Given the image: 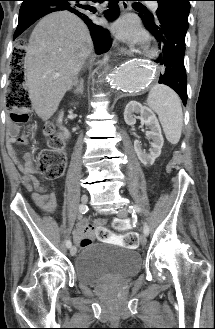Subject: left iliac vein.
I'll return each mask as SVG.
<instances>
[{"label":"left iliac vein","instance_id":"obj_1","mask_svg":"<svg viewBox=\"0 0 215 329\" xmlns=\"http://www.w3.org/2000/svg\"><path fill=\"white\" fill-rule=\"evenodd\" d=\"M127 215H128V212H127V210H125V209H121V210H119L118 213H117V216L120 217V218H125V217H127ZM146 241H147V239H146V235H145V233L143 232V233H141V235H140V242H141L142 245H145V244H146Z\"/></svg>","mask_w":215,"mask_h":329}]
</instances>
